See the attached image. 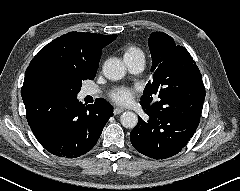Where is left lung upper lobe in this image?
<instances>
[{
    "instance_id": "5c2ea615",
    "label": "left lung upper lobe",
    "mask_w": 240,
    "mask_h": 191,
    "mask_svg": "<svg viewBox=\"0 0 240 191\" xmlns=\"http://www.w3.org/2000/svg\"><path fill=\"white\" fill-rule=\"evenodd\" d=\"M152 55V79L146 85L140 103L150 104L171 100L182 95L201 73L189 52L176 45L174 39L163 32H153L148 41Z\"/></svg>"
}]
</instances>
